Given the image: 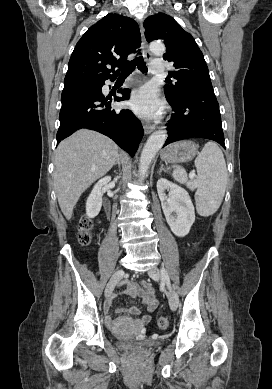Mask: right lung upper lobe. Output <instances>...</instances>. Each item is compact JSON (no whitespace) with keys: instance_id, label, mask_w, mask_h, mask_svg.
Listing matches in <instances>:
<instances>
[{"instance_id":"obj_1","label":"right lung upper lobe","mask_w":272,"mask_h":389,"mask_svg":"<svg viewBox=\"0 0 272 389\" xmlns=\"http://www.w3.org/2000/svg\"><path fill=\"white\" fill-rule=\"evenodd\" d=\"M140 44V30L133 19L118 14L106 15L91 26L76 44L64 87L115 78L118 71L114 68L126 63L128 54L134 53Z\"/></svg>"}]
</instances>
